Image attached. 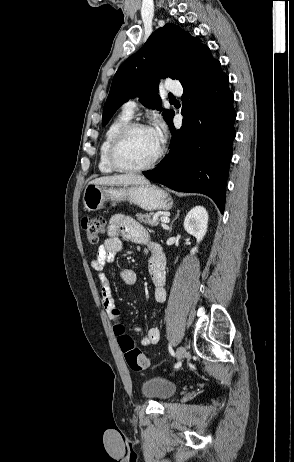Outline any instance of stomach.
Instances as JSON below:
<instances>
[{"label": "stomach", "instance_id": "stomach-1", "mask_svg": "<svg viewBox=\"0 0 294 462\" xmlns=\"http://www.w3.org/2000/svg\"><path fill=\"white\" fill-rule=\"evenodd\" d=\"M128 200L146 211L169 210L173 206L171 196L161 188L151 184L105 185L88 184L83 195L84 207L88 211H97L106 204Z\"/></svg>", "mask_w": 294, "mask_h": 462}]
</instances>
